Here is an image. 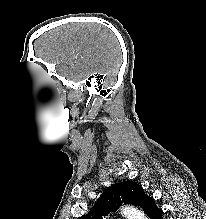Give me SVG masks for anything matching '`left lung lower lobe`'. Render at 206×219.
Returning a JSON list of instances; mask_svg holds the SVG:
<instances>
[{"mask_svg":"<svg viewBox=\"0 0 206 219\" xmlns=\"http://www.w3.org/2000/svg\"><path fill=\"white\" fill-rule=\"evenodd\" d=\"M162 210L159 209L155 203H154V200L151 201V204H150V209L148 210L147 212V216L150 218V219H162Z\"/></svg>","mask_w":206,"mask_h":219,"instance_id":"1","label":"left lung lower lobe"}]
</instances>
